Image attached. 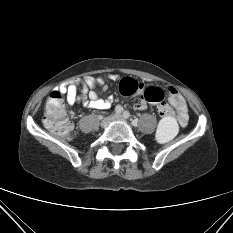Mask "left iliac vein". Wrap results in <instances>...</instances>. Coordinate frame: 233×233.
<instances>
[{"label": "left iliac vein", "instance_id": "left-iliac-vein-1", "mask_svg": "<svg viewBox=\"0 0 233 233\" xmlns=\"http://www.w3.org/2000/svg\"><path fill=\"white\" fill-rule=\"evenodd\" d=\"M113 120H124V117H122L121 115H117Z\"/></svg>", "mask_w": 233, "mask_h": 233}]
</instances>
